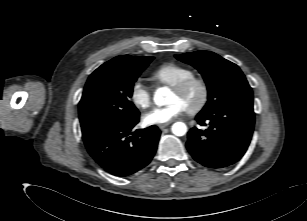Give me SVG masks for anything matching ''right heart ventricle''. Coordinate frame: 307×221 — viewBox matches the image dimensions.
<instances>
[{
    "label": "right heart ventricle",
    "instance_id": "e07e8e85",
    "mask_svg": "<svg viewBox=\"0 0 307 221\" xmlns=\"http://www.w3.org/2000/svg\"><path fill=\"white\" fill-rule=\"evenodd\" d=\"M193 75V71L184 65L167 62L158 66L151 78L159 84L172 86L177 82Z\"/></svg>",
    "mask_w": 307,
    "mask_h": 221
}]
</instances>
